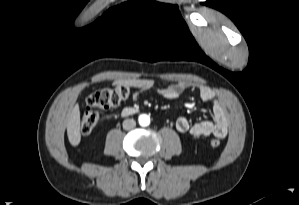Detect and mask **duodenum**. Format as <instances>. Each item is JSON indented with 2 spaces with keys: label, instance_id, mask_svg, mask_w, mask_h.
Listing matches in <instances>:
<instances>
[{
  "label": "duodenum",
  "instance_id": "1",
  "mask_svg": "<svg viewBox=\"0 0 299 205\" xmlns=\"http://www.w3.org/2000/svg\"><path fill=\"white\" fill-rule=\"evenodd\" d=\"M137 112V108L135 107H126L122 110V115L123 116H129L133 113Z\"/></svg>",
  "mask_w": 299,
  "mask_h": 205
}]
</instances>
